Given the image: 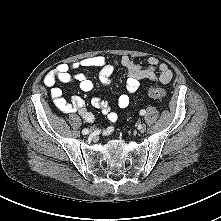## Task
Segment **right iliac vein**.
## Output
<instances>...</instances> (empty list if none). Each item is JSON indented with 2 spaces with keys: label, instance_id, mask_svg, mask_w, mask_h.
<instances>
[{
  "label": "right iliac vein",
  "instance_id": "63e3f726",
  "mask_svg": "<svg viewBox=\"0 0 221 221\" xmlns=\"http://www.w3.org/2000/svg\"><path fill=\"white\" fill-rule=\"evenodd\" d=\"M93 131L92 130H89V133H92Z\"/></svg>",
  "mask_w": 221,
  "mask_h": 221
}]
</instances>
